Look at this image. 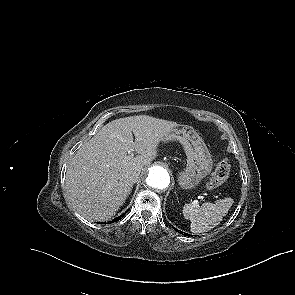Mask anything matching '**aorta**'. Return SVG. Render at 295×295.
Here are the masks:
<instances>
[{"instance_id": "1", "label": "aorta", "mask_w": 295, "mask_h": 295, "mask_svg": "<svg viewBox=\"0 0 295 295\" xmlns=\"http://www.w3.org/2000/svg\"><path fill=\"white\" fill-rule=\"evenodd\" d=\"M146 185L152 190H163L170 183V175L168 170L159 165L151 166L145 179Z\"/></svg>"}]
</instances>
